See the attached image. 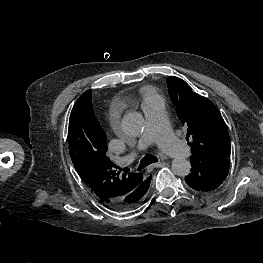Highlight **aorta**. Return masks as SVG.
Wrapping results in <instances>:
<instances>
[{
    "label": "aorta",
    "instance_id": "aorta-1",
    "mask_svg": "<svg viewBox=\"0 0 263 263\" xmlns=\"http://www.w3.org/2000/svg\"><path fill=\"white\" fill-rule=\"evenodd\" d=\"M122 129L130 137H138L144 131V118L138 112H128L122 119ZM191 164L185 158H175L172 161V170L177 176H187L190 173Z\"/></svg>",
    "mask_w": 263,
    "mask_h": 263
}]
</instances>
